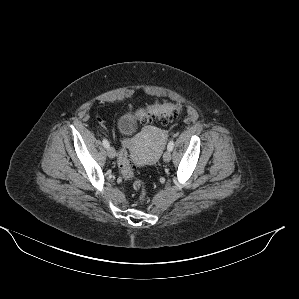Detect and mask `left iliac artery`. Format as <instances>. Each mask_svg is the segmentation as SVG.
I'll list each match as a JSON object with an SVG mask.
<instances>
[{
    "label": "left iliac artery",
    "mask_w": 299,
    "mask_h": 299,
    "mask_svg": "<svg viewBox=\"0 0 299 299\" xmlns=\"http://www.w3.org/2000/svg\"><path fill=\"white\" fill-rule=\"evenodd\" d=\"M173 148H174V142H173V141H170V142L168 143L167 149L170 150V151H172Z\"/></svg>",
    "instance_id": "44dca946"
}]
</instances>
